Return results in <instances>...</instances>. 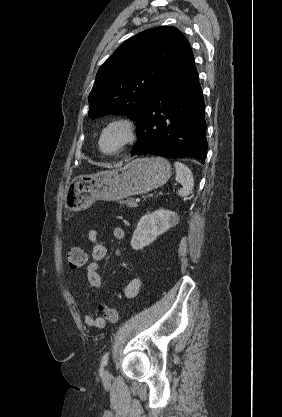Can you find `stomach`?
Returning <instances> with one entry per match:
<instances>
[{
    "label": "stomach",
    "mask_w": 282,
    "mask_h": 417,
    "mask_svg": "<svg viewBox=\"0 0 282 417\" xmlns=\"http://www.w3.org/2000/svg\"><path fill=\"white\" fill-rule=\"evenodd\" d=\"M170 176L171 166L162 156L135 158L125 166L83 174L67 188L65 209L76 213L88 209L95 200H121L132 194H144L166 184Z\"/></svg>",
    "instance_id": "0dacf381"
}]
</instances>
